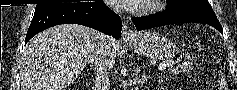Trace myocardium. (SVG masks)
<instances>
[{
    "instance_id": "f54148a6",
    "label": "myocardium",
    "mask_w": 237,
    "mask_h": 90,
    "mask_svg": "<svg viewBox=\"0 0 237 90\" xmlns=\"http://www.w3.org/2000/svg\"><path fill=\"white\" fill-rule=\"evenodd\" d=\"M148 9L153 10V9H155V7H154V6H149ZM131 10H132L133 12H136V13L140 14L141 16H143V14H144L145 11H146V9L143 8V7H134V8H132Z\"/></svg>"
}]
</instances>
